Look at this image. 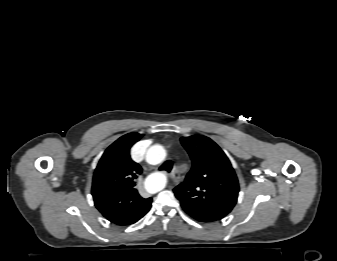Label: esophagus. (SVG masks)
I'll return each instance as SVG.
<instances>
[{"label":"esophagus","mask_w":337,"mask_h":261,"mask_svg":"<svg viewBox=\"0 0 337 261\" xmlns=\"http://www.w3.org/2000/svg\"><path fill=\"white\" fill-rule=\"evenodd\" d=\"M178 175H177V171L174 169L171 173V179L176 182L178 180Z\"/></svg>","instance_id":"1"}]
</instances>
